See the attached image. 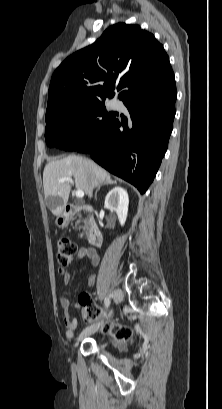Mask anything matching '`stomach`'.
Wrapping results in <instances>:
<instances>
[{
  "label": "stomach",
  "mask_w": 222,
  "mask_h": 409,
  "mask_svg": "<svg viewBox=\"0 0 222 409\" xmlns=\"http://www.w3.org/2000/svg\"><path fill=\"white\" fill-rule=\"evenodd\" d=\"M70 220L71 215L63 209V211L57 215L55 224L59 228H65L70 223Z\"/></svg>",
  "instance_id": "obj_1"
}]
</instances>
